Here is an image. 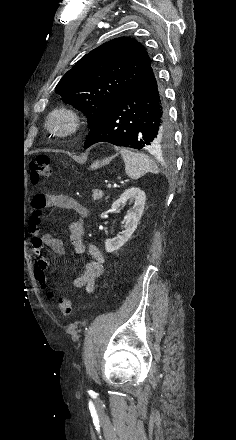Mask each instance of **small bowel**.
Masks as SVG:
<instances>
[{"mask_svg": "<svg viewBox=\"0 0 236 440\" xmlns=\"http://www.w3.org/2000/svg\"><path fill=\"white\" fill-rule=\"evenodd\" d=\"M31 206L34 210V218L36 220H44L47 218L44 212L46 208L69 210L76 215L77 219L69 226L70 241L76 252L87 254L88 261L82 273L70 280L69 285L73 288H84L88 294L93 293L96 279L104 272L105 258L95 244L87 242L85 239L84 220L89 215L88 208L71 196L48 195L43 193L33 196ZM30 232L33 235L32 247L37 257L34 275L37 283L44 288L47 284L45 271L49 262L42 254V251L44 249H50L54 253L62 255L65 252V247L62 240L53 237L47 232H40L36 224L30 227Z\"/></svg>", "mask_w": 236, "mask_h": 440, "instance_id": "1", "label": "small bowel"}]
</instances>
